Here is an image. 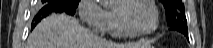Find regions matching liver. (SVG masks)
<instances>
[{
	"label": "liver",
	"mask_w": 213,
	"mask_h": 48,
	"mask_svg": "<svg viewBox=\"0 0 213 48\" xmlns=\"http://www.w3.org/2000/svg\"><path fill=\"white\" fill-rule=\"evenodd\" d=\"M149 41L114 43L100 38L66 14L43 19L27 40V48H148Z\"/></svg>",
	"instance_id": "1"
}]
</instances>
